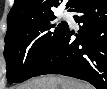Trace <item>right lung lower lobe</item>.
Returning <instances> with one entry per match:
<instances>
[{
	"label": "right lung lower lobe",
	"instance_id": "obj_1",
	"mask_svg": "<svg viewBox=\"0 0 107 89\" xmlns=\"http://www.w3.org/2000/svg\"><path fill=\"white\" fill-rule=\"evenodd\" d=\"M70 12L81 23L78 39L65 30L57 46L34 76L61 74L90 82L97 89H107V0H76Z\"/></svg>",
	"mask_w": 107,
	"mask_h": 89
}]
</instances>
